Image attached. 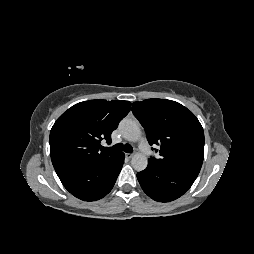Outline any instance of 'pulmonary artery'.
I'll return each mask as SVG.
<instances>
[{
    "instance_id": "1",
    "label": "pulmonary artery",
    "mask_w": 254,
    "mask_h": 254,
    "mask_svg": "<svg viewBox=\"0 0 254 254\" xmlns=\"http://www.w3.org/2000/svg\"><path fill=\"white\" fill-rule=\"evenodd\" d=\"M139 149L141 150V152L148 154L150 153V146L148 145V143L146 142L145 139H141L140 143H139Z\"/></svg>"
}]
</instances>
